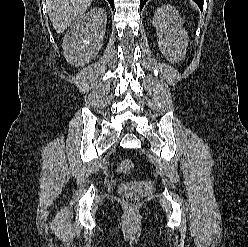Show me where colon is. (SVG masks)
<instances>
[{
  "label": "colon",
  "instance_id": "colon-1",
  "mask_svg": "<svg viewBox=\"0 0 248 247\" xmlns=\"http://www.w3.org/2000/svg\"><path fill=\"white\" fill-rule=\"evenodd\" d=\"M117 170L123 174H129L133 170V162L131 160H122L117 167ZM123 204L128 208L136 207L139 202V196L135 192H127L122 197Z\"/></svg>",
  "mask_w": 248,
  "mask_h": 247
}]
</instances>
